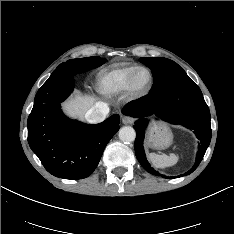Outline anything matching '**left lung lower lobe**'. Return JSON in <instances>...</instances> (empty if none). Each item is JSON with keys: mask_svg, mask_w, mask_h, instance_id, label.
Instances as JSON below:
<instances>
[{"mask_svg": "<svg viewBox=\"0 0 234 234\" xmlns=\"http://www.w3.org/2000/svg\"><path fill=\"white\" fill-rule=\"evenodd\" d=\"M122 112L139 118L134 126L135 154L146 171L163 178H172L159 174L147 162L143 139L148 121L144 117L151 115L194 130L200 140L196 162L189 171L179 177L189 175L198 167L211 140L210 112L201 90L189 77L175 81L159 90L150 91L148 95L129 103Z\"/></svg>", "mask_w": 234, "mask_h": 234, "instance_id": "1", "label": "left lung lower lobe"}]
</instances>
